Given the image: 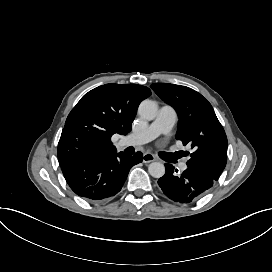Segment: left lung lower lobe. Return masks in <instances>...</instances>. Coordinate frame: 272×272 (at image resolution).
<instances>
[{"label":"left lung lower lobe","instance_id":"1","mask_svg":"<svg viewBox=\"0 0 272 272\" xmlns=\"http://www.w3.org/2000/svg\"><path fill=\"white\" fill-rule=\"evenodd\" d=\"M166 173L158 180L163 193L172 201L189 204L203 196L216 180L201 170L188 167L181 175H176L171 164H165ZM177 172V170H176Z\"/></svg>","mask_w":272,"mask_h":272}]
</instances>
